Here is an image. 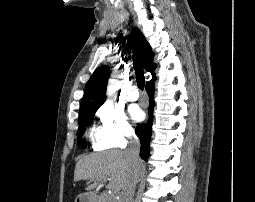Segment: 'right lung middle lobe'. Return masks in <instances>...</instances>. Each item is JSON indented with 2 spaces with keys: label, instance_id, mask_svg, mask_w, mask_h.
<instances>
[{
  "label": "right lung middle lobe",
  "instance_id": "right-lung-middle-lobe-1",
  "mask_svg": "<svg viewBox=\"0 0 255 202\" xmlns=\"http://www.w3.org/2000/svg\"><path fill=\"white\" fill-rule=\"evenodd\" d=\"M97 109H87L79 111V127L83 128L85 127L92 117L94 116Z\"/></svg>",
  "mask_w": 255,
  "mask_h": 202
}]
</instances>
